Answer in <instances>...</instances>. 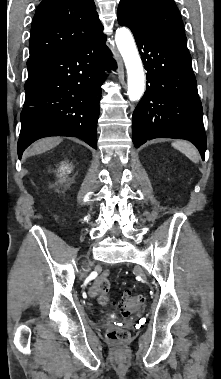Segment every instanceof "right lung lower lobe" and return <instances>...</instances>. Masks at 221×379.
<instances>
[{
    "mask_svg": "<svg viewBox=\"0 0 221 379\" xmlns=\"http://www.w3.org/2000/svg\"><path fill=\"white\" fill-rule=\"evenodd\" d=\"M102 29L75 47L27 64L19 158L31 143L47 136L78 137L97 148L101 86L105 71L116 68Z\"/></svg>",
    "mask_w": 221,
    "mask_h": 379,
    "instance_id": "right-lung-lower-lobe-1",
    "label": "right lung lower lobe"
}]
</instances>
